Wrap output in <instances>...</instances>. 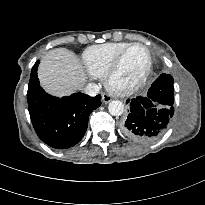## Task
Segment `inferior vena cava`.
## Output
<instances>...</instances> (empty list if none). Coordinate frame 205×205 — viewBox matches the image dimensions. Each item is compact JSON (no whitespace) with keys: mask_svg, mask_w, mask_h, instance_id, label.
Instances as JSON below:
<instances>
[{"mask_svg":"<svg viewBox=\"0 0 205 205\" xmlns=\"http://www.w3.org/2000/svg\"><path fill=\"white\" fill-rule=\"evenodd\" d=\"M99 86L97 84L94 83H89L88 85H86L84 92L93 97L96 96L99 93Z\"/></svg>","mask_w":205,"mask_h":205,"instance_id":"inferior-vena-cava-1","label":"inferior vena cava"}]
</instances>
